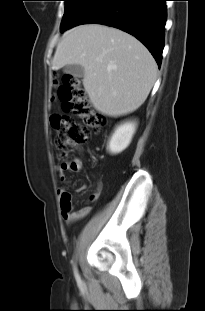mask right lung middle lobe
<instances>
[{"label": "right lung middle lobe", "mask_w": 205, "mask_h": 311, "mask_svg": "<svg viewBox=\"0 0 205 311\" xmlns=\"http://www.w3.org/2000/svg\"><path fill=\"white\" fill-rule=\"evenodd\" d=\"M65 12L61 23V32L69 29L82 14L91 0H64Z\"/></svg>", "instance_id": "obj_1"}]
</instances>
